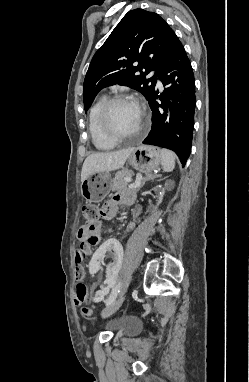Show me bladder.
<instances>
[{"instance_id": "31cf9c89", "label": "bladder", "mask_w": 249, "mask_h": 382, "mask_svg": "<svg viewBox=\"0 0 249 382\" xmlns=\"http://www.w3.org/2000/svg\"><path fill=\"white\" fill-rule=\"evenodd\" d=\"M109 329L114 334H133L139 329L136 319L124 318L109 323Z\"/></svg>"}]
</instances>
